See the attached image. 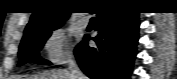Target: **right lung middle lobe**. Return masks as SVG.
Listing matches in <instances>:
<instances>
[{"mask_svg":"<svg viewBox=\"0 0 177 79\" xmlns=\"http://www.w3.org/2000/svg\"><path fill=\"white\" fill-rule=\"evenodd\" d=\"M59 27L40 30L31 36L23 38L19 48V64L21 66L27 62H35L39 64H51L49 61L39 57V51L43 47L46 40L50 37L51 31Z\"/></svg>","mask_w":177,"mask_h":79,"instance_id":"dd1d6c3e","label":"right lung middle lobe"}]
</instances>
